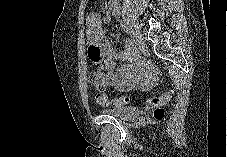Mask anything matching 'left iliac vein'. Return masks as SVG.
<instances>
[{"instance_id": "4c4485c4", "label": "left iliac vein", "mask_w": 227, "mask_h": 157, "mask_svg": "<svg viewBox=\"0 0 227 157\" xmlns=\"http://www.w3.org/2000/svg\"><path fill=\"white\" fill-rule=\"evenodd\" d=\"M135 32L137 33V36L135 37V39H136V43L138 45L139 50L142 53H146L147 52V44H146L144 38L142 37V35L139 32H137V31H135Z\"/></svg>"}]
</instances>
